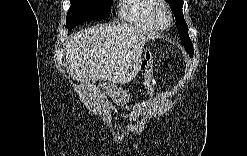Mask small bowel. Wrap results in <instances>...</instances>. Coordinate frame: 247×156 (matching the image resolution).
Returning a JSON list of instances; mask_svg holds the SVG:
<instances>
[{
    "label": "small bowel",
    "instance_id": "c3829d8e",
    "mask_svg": "<svg viewBox=\"0 0 247 156\" xmlns=\"http://www.w3.org/2000/svg\"><path fill=\"white\" fill-rule=\"evenodd\" d=\"M143 75H144L146 87L148 88L149 92L152 93L155 85V79H154V65L151 61H147L143 66Z\"/></svg>",
    "mask_w": 247,
    "mask_h": 156
}]
</instances>
